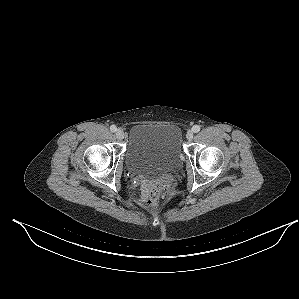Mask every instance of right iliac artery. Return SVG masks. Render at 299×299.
<instances>
[{
  "instance_id": "obj_1",
  "label": "right iliac artery",
  "mask_w": 299,
  "mask_h": 299,
  "mask_svg": "<svg viewBox=\"0 0 299 299\" xmlns=\"http://www.w3.org/2000/svg\"><path fill=\"white\" fill-rule=\"evenodd\" d=\"M110 130H111L112 132H115V131L117 130V127H116L115 125H112V126L110 127Z\"/></svg>"
}]
</instances>
